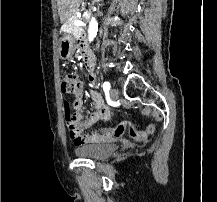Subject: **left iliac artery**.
Returning a JSON list of instances; mask_svg holds the SVG:
<instances>
[{
	"label": "left iliac artery",
	"mask_w": 217,
	"mask_h": 202,
	"mask_svg": "<svg viewBox=\"0 0 217 202\" xmlns=\"http://www.w3.org/2000/svg\"><path fill=\"white\" fill-rule=\"evenodd\" d=\"M102 87H103V90L105 92H108L110 90L111 85H110V83L108 81H106V82L103 83Z\"/></svg>",
	"instance_id": "44dca946"
}]
</instances>
